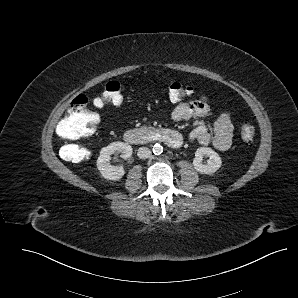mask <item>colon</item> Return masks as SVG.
Instances as JSON below:
<instances>
[{"mask_svg":"<svg viewBox=\"0 0 298 298\" xmlns=\"http://www.w3.org/2000/svg\"><path fill=\"white\" fill-rule=\"evenodd\" d=\"M123 84L119 81H109L101 95L94 100V106L100 108L105 104L118 105L123 100ZM193 93V88L180 82H172L168 86V97L171 102L178 103ZM99 118L90 108L89 99L85 95L75 97L64 117L58 123L56 132L60 139L77 140L91 135L97 128ZM242 140L248 144L253 143L255 129L249 122H243L239 126ZM82 157H87L88 152L81 149Z\"/></svg>","mask_w":298,"mask_h":298,"instance_id":"colon-1","label":"colon"}]
</instances>
